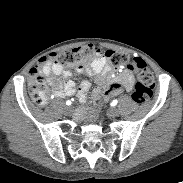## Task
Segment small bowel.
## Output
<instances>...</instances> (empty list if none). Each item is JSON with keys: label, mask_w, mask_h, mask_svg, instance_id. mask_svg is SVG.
Masks as SVG:
<instances>
[{"label": "small bowel", "mask_w": 183, "mask_h": 183, "mask_svg": "<svg viewBox=\"0 0 183 183\" xmlns=\"http://www.w3.org/2000/svg\"><path fill=\"white\" fill-rule=\"evenodd\" d=\"M95 57L89 66L78 67L74 71L65 69L55 63H49L43 68V73L51 76L48 80L49 85L54 89V94L58 97L71 96L76 92L75 83L72 80H67L63 84L59 82L56 77L63 75L72 77L75 74L85 73L87 75H94L98 87L94 90V96L99 97L104 89H109L111 82L122 81L125 84L124 91H131L135 84V79L131 70H125L122 73L115 74L108 65L105 56L100 48L94 47ZM91 87V83L83 80L77 91V97L81 103H84L87 98V93ZM106 90V92H107ZM105 92V93H106Z\"/></svg>", "instance_id": "small-bowel-1"}]
</instances>
